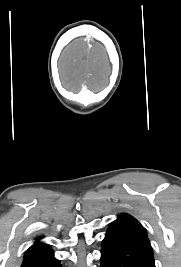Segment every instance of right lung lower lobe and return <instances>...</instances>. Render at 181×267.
<instances>
[{"label":"right lung lower lobe","instance_id":"obj_1","mask_svg":"<svg viewBox=\"0 0 181 267\" xmlns=\"http://www.w3.org/2000/svg\"><path fill=\"white\" fill-rule=\"evenodd\" d=\"M21 267H61L49 246L33 245L25 253Z\"/></svg>","mask_w":181,"mask_h":267}]
</instances>
